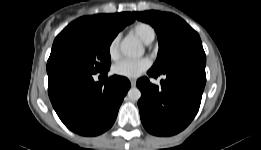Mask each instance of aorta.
<instances>
[{"mask_svg": "<svg viewBox=\"0 0 261 150\" xmlns=\"http://www.w3.org/2000/svg\"><path fill=\"white\" fill-rule=\"evenodd\" d=\"M121 53L129 58H139L144 54V47L133 38H125L120 45ZM128 98L132 101H138L141 97V92L137 87H132L128 91Z\"/></svg>", "mask_w": 261, "mask_h": 150, "instance_id": "1", "label": "aorta"}]
</instances>
